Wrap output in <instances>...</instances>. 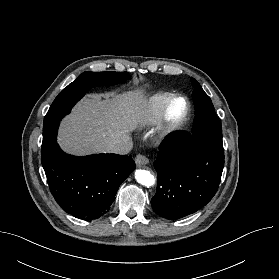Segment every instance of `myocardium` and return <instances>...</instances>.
Instances as JSON below:
<instances>
[{
    "label": "myocardium",
    "instance_id": "f54148a6",
    "mask_svg": "<svg viewBox=\"0 0 279 279\" xmlns=\"http://www.w3.org/2000/svg\"><path fill=\"white\" fill-rule=\"evenodd\" d=\"M181 99L185 102V111L183 115L177 120H170L168 113L171 105L176 100ZM191 104L187 97L183 95H173L164 105L160 119L158 121L157 137L159 140L166 139L167 137L180 131L190 116Z\"/></svg>",
    "mask_w": 279,
    "mask_h": 279
}]
</instances>
